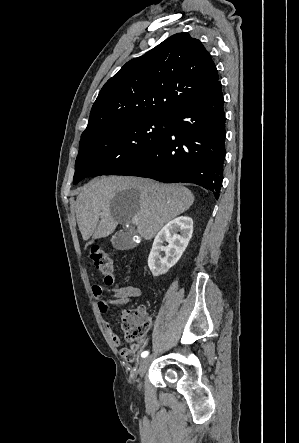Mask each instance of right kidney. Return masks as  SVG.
<instances>
[{
	"instance_id": "ca27d5eb",
	"label": "right kidney",
	"mask_w": 299,
	"mask_h": 443,
	"mask_svg": "<svg viewBox=\"0 0 299 443\" xmlns=\"http://www.w3.org/2000/svg\"><path fill=\"white\" fill-rule=\"evenodd\" d=\"M192 233L193 220L187 216L175 218L158 232L148 257V266L153 276L165 274L178 262ZM165 242L168 243L167 246H164ZM161 252L165 255L162 256Z\"/></svg>"
}]
</instances>
